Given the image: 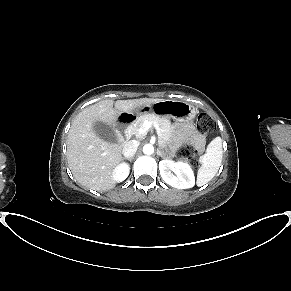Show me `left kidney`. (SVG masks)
Here are the masks:
<instances>
[{
  "label": "left kidney",
  "mask_w": 291,
  "mask_h": 291,
  "mask_svg": "<svg viewBox=\"0 0 291 291\" xmlns=\"http://www.w3.org/2000/svg\"><path fill=\"white\" fill-rule=\"evenodd\" d=\"M159 170L164 182L174 188L188 189L195 185L193 170L187 163L165 159L159 162Z\"/></svg>",
  "instance_id": "obj_1"
}]
</instances>
